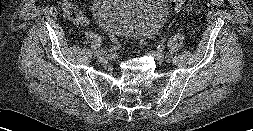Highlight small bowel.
<instances>
[{
    "label": "small bowel",
    "instance_id": "small-bowel-1",
    "mask_svg": "<svg viewBox=\"0 0 253 131\" xmlns=\"http://www.w3.org/2000/svg\"><path fill=\"white\" fill-rule=\"evenodd\" d=\"M65 17L76 24L86 25L88 20L82 12L76 7L73 0H61L59 3Z\"/></svg>",
    "mask_w": 253,
    "mask_h": 131
}]
</instances>
